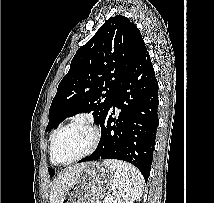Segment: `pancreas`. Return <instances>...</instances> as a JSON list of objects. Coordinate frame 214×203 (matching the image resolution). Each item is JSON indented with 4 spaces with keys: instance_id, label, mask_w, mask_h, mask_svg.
I'll list each match as a JSON object with an SVG mask.
<instances>
[{
    "instance_id": "cf45deb5",
    "label": "pancreas",
    "mask_w": 214,
    "mask_h": 203,
    "mask_svg": "<svg viewBox=\"0 0 214 203\" xmlns=\"http://www.w3.org/2000/svg\"><path fill=\"white\" fill-rule=\"evenodd\" d=\"M103 203H115V201H113V200H108V201L104 200Z\"/></svg>"
}]
</instances>
